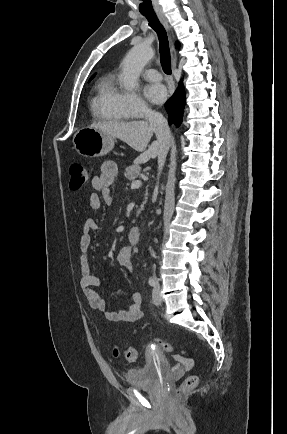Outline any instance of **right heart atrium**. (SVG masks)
I'll list each match as a JSON object with an SVG mask.
<instances>
[{
  "label": "right heart atrium",
  "mask_w": 287,
  "mask_h": 434,
  "mask_svg": "<svg viewBox=\"0 0 287 434\" xmlns=\"http://www.w3.org/2000/svg\"><path fill=\"white\" fill-rule=\"evenodd\" d=\"M118 104L128 116H139L151 113L145 100L134 91H122L118 95Z\"/></svg>",
  "instance_id": "d8ad5b80"
}]
</instances>
